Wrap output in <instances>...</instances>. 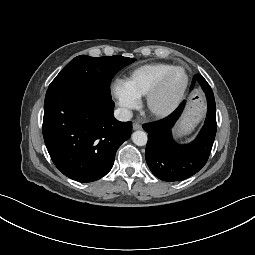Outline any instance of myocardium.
Segmentation results:
<instances>
[{"label": "myocardium", "mask_w": 255, "mask_h": 255, "mask_svg": "<svg viewBox=\"0 0 255 255\" xmlns=\"http://www.w3.org/2000/svg\"><path fill=\"white\" fill-rule=\"evenodd\" d=\"M177 70H181L185 74V81L181 89L178 91V93L174 96V98L166 105V106H159L158 105V99L163 93L168 80L172 76L174 72ZM189 86V75L186 71V69L182 66H174L172 69H170L167 73L163 75V77L158 81V83L151 89V91L147 94V107L149 111L158 117H166L173 113L177 107L182 102L185 93Z\"/></svg>", "instance_id": "obj_1"}]
</instances>
